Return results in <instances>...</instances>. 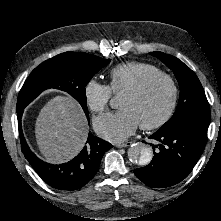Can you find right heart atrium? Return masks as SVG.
<instances>
[{"instance_id":"obj_1","label":"right heart atrium","mask_w":221,"mask_h":221,"mask_svg":"<svg viewBox=\"0 0 221 221\" xmlns=\"http://www.w3.org/2000/svg\"><path fill=\"white\" fill-rule=\"evenodd\" d=\"M111 90L108 85L96 79L88 80L84 86V97L88 107L96 114H103L111 99Z\"/></svg>"}]
</instances>
